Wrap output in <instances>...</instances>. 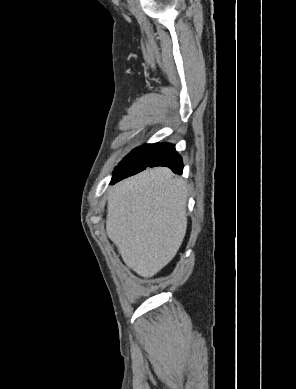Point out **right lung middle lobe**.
<instances>
[{
	"label": "right lung middle lobe",
	"instance_id": "1",
	"mask_svg": "<svg viewBox=\"0 0 296 389\" xmlns=\"http://www.w3.org/2000/svg\"><path fill=\"white\" fill-rule=\"evenodd\" d=\"M159 143L143 145L128 154L115 170L139 168L146 165L148 155Z\"/></svg>",
	"mask_w": 296,
	"mask_h": 389
}]
</instances>
